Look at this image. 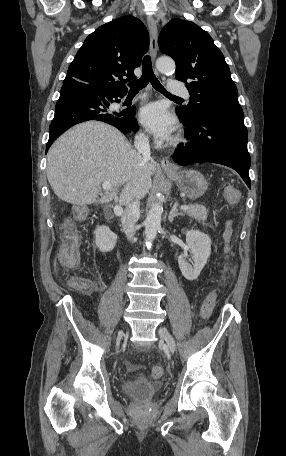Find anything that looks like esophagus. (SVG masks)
<instances>
[{
	"label": "esophagus",
	"instance_id": "obj_1",
	"mask_svg": "<svg viewBox=\"0 0 286 456\" xmlns=\"http://www.w3.org/2000/svg\"><path fill=\"white\" fill-rule=\"evenodd\" d=\"M148 29L150 34V55L153 61L156 59L157 56V46H158V30L155 20L152 17H148ZM161 166L165 171L168 172H175V166L170 162V160L163 156L161 157Z\"/></svg>",
	"mask_w": 286,
	"mask_h": 456
}]
</instances>
